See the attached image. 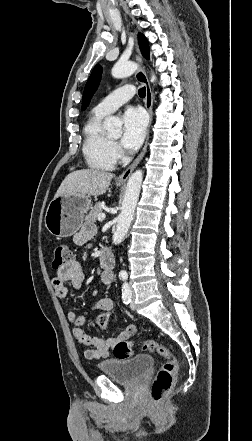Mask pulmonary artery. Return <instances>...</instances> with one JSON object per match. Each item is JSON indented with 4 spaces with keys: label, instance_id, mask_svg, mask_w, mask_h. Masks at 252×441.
I'll use <instances>...</instances> for the list:
<instances>
[{
    "label": "pulmonary artery",
    "instance_id": "e3ab8cb5",
    "mask_svg": "<svg viewBox=\"0 0 252 441\" xmlns=\"http://www.w3.org/2000/svg\"><path fill=\"white\" fill-rule=\"evenodd\" d=\"M135 94L133 85H124L105 97L95 110L101 114L108 115L118 109L121 105L129 101Z\"/></svg>",
    "mask_w": 252,
    "mask_h": 441
}]
</instances>
